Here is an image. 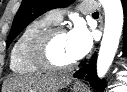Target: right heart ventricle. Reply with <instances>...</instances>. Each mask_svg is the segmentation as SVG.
<instances>
[{
    "label": "right heart ventricle",
    "instance_id": "1",
    "mask_svg": "<svg viewBox=\"0 0 127 92\" xmlns=\"http://www.w3.org/2000/svg\"><path fill=\"white\" fill-rule=\"evenodd\" d=\"M54 24L48 16L30 22L15 41L10 54V69L15 74L32 75L42 71L32 60L31 45L36 35Z\"/></svg>",
    "mask_w": 127,
    "mask_h": 92
}]
</instances>
